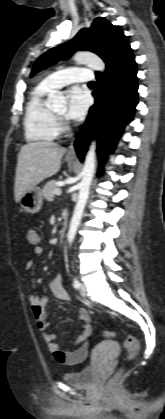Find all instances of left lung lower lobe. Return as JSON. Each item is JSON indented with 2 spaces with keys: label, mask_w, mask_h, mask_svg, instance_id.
Returning a JSON list of instances; mask_svg holds the SVG:
<instances>
[{
  "label": "left lung lower lobe",
  "mask_w": 165,
  "mask_h": 419,
  "mask_svg": "<svg viewBox=\"0 0 165 419\" xmlns=\"http://www.w3.org/2000/svg\"><path fill=\"white\" fill-rule=\"evenodd\" d=\"M137 68L130 48L106 73L96 74L95 104L77 135L75 149L81 161L93 137L98 138V153L103 162L112 153L123 129L134 115L138 103ZM102 169H99V174Z\"/></svg>",
  "instance_id": "0a47b994"
}]
</instances>
